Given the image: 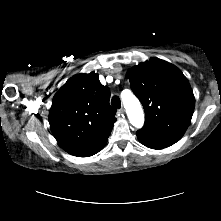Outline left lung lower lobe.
Segmentation results:
<instances>
[{
  "label": "left lung lower lobe",
  "instance_id": "left-lung-lower-lobe-1",
  "mask_svg": "<svg viewBox=\"0 0 221 221\" xmlns=\"http://www.w3.org/2000/svg\"><path fill=\"white\" fill-rule=\"evenodd\" d=\"M136 135L143 145L152 149L169 147L181 138L180 136L158 133L144 128L138 130Z\"/></svg>",
  "mask_w": 221,
  "mask_h": 221
}]
</instances>
